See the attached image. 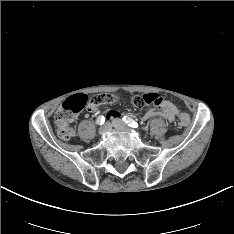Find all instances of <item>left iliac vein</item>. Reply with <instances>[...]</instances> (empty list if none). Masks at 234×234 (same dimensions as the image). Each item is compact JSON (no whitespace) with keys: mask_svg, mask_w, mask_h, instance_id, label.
<instances>
[{"mask_svg":"<svg viewBox=\"0 0 234 234\" xmlns=\"http://www.w3.org/2000/svg\"><path fill=\"white\" fill-rule=\"evenodd\" d=\"M112 125L117 129L129 131V127L120 119H114Z\"/></svg>","mask_w":234,"mask_h":234,"instance_id":"obj_1","label":"left iliac vein"}]
</instances>
